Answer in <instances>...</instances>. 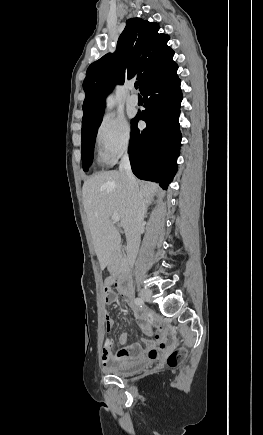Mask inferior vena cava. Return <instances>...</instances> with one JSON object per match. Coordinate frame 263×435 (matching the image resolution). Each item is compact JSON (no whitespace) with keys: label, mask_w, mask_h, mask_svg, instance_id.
<instances>
[{"label":"inferior vena cava","mask_w":263,"mask_h":435,"mask_svg":"<svg viewBox=\"0 0 263 435\" xmlns=\"http://www.w3.org/2000/svg\"><path fill=\"white\" fill-rule=\"evenodd\" d=\"M119 173L123 179L129 211V225L126 232L127 238V259L132 266L135 262L139 245L140 233L146 212L145 203L138 189L136 179L132 173L129 156L126 154L119 165Z\"/></svg>","instance_id":"inferior-vena-cava-1"}]
</instances>
